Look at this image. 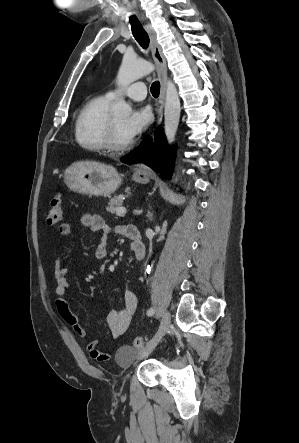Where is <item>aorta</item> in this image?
Returning a JSON list of instances; mask_svg holds the SVG:
<instances>
[{
  "label": "aorta",
  "mask_w": 299,
  "mask_h": 443,
  "mask_svg": "<svg viewBox=\"0 0 299 443\" xmlns=\"http://www.w3.org/2000/svg\"><path fill=\"white\" fill-rule=\"evenodd\" d=\"M154 69V65L146 60L125 55L117 75L118 86L126 87L141 77L149 75ZM180 111V99L177 88L171 80H167L164 131L169 144H172L175 140L180 120ZM131 112V107L122 98L118 99L111 108V113L119 118H126Z\"/></svg>",
  "instance_id": "obj_1"
}]
</instances>
